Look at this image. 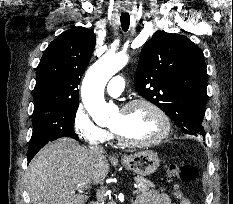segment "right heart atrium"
Returning a JSON list of instances; mask_svg holds the SVG:
<instances>
[{"mask_svg":"<svg viewBox=\"0 0 233 204\" xmlns=\"http://www.w3.org/2000/svg\"><path fill=\"white\" fill-rule=\"evenodd\" d=\"M73 130L82 141L88 144H103L107 142L111 134L104 128L98 126L80 104L77 106L73 116Z\"/></svg>","mask_w":233,"mask_h":204,"instance_id":"obj_1","label":"right heart atrium"}]
</instances>
